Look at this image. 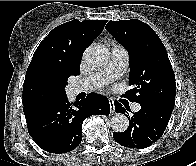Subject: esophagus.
I'll list each match as a JSON object with an SVG mask.
<instances>
[{
  "mask_svg": "<svg viewBox=\"0 0 196 166\" xmlns=\"http://www.w3.org/2000/svg\"><path fill=\"white\" fill-rule=\"evenodd\" d=\"M109 103H110V106H111V113L114 114L115 113L114 100L112 98H109Z\"/></svg>",
  "mask_w": 196,
  "mask_h": 166,
  "instance_id": "obj_1",
  "label": "esophagus"
}]
</instances>
